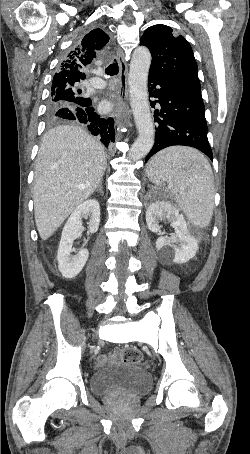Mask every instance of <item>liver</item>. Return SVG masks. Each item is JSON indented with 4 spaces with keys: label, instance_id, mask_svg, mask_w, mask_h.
<instances>
[{
    "label": "liver",
    "instance_id": "liver-1",
    "mask_svg": "<svg viewBox=\"0 0 250 454\" xmlns=\"http://www.w3.org/2000/svg\"><path fill=\"white\" fill-rule=\"evenodd\" d=\"M103 147L83 129L61 125L43 137L34 175V216L47 240L97 189L106 170Z\"/></svg>",
    "mask_w": 250,
    "mask_h": 454
}]
</instances>
